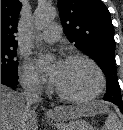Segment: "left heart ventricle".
Listing matches in <instances>:
<instances>
[{
  "label": "left heart ventricle",
  "mask_w": 123,
  "mask_h": 130,
  "mask_svg": "<svg viewBox=\"0 0 123 130\" xmlns=\"http://www.w3.org/2000/svg\"><path fill=\"white\" fill-rule=\"evenodd\" d=\"M53 83L68 95L87 96L97 89L98 76L92 66L82 60H64Z\"/></svg>",
  "instance_id": "b2bd125f"
}]
</instances>
